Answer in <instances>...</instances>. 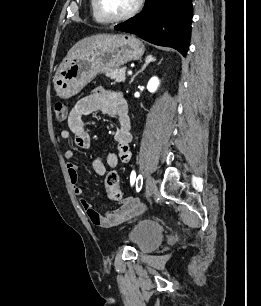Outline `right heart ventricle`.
<instances>
[{"label": "right heart ventricle", "mask_w": 261, "mask_h": 306, "mask_svg": "<svg viewBox=\"0 0 261 306\" xmlns=\"http://www.w3.org/2000/svg\"><path fill=\"white\" fill-rule=\"evenodd\" d=\"M91 12L94 20L98 23H106V21L98 14L95 7V0H90Z\"/></svg>", "instance_id": "e07e8e85"}]
</instances>
